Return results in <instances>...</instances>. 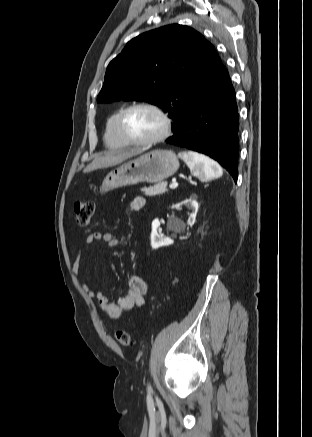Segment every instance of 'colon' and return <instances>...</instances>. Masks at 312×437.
Here are the masks:
<instances>
[{
	"label": "colon",
	"instance_id": "obj_1",
	"mask_svg": "<svg viewBox=\"0 0 312 437\" xmlns=\"http://www.w3.org/2000/svg\"><path fill=\"white\" fill-rule=\"evenodd\" d=\"M76 221L79 225L87 226L90 224L94 214L95 205L90 201H75L73 204ZM115 339L122 346H131L133 344L130 333L126 330H117Z\"/></svg>",
	"mask_w": 312,
	"mask_h": 437
}]
</instances>
